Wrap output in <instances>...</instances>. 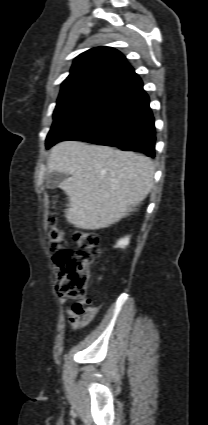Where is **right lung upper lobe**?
<instances>
[{
  "mask_svg": "<svg viewBox=\"0 0 208 425\" xmlns=\"http://www.w3.org/2000/svg\"><path fill=\"white\" fill-rule=\"evenodd\" d=\"M125 56L111 47L91 48L73 62L58 100L80 91H102L130 69Z\"/></svg>",
  "mask_w": 208,
  "mask_h": 425,
  "instance_id": "right-lung-upper-lobe-1",
  "label": "right lung upper lobe"
}]
</instances>
